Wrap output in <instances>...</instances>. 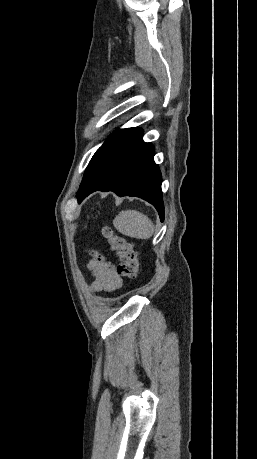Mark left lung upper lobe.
<instances>
[{
	"instance_id": "1",
	"label": "left lung upper lobe",
	"mask_w": 257,
	"mask_h": 459,
	"mask_svg": "<svg viewBox=\"0 0 257 459\" xmlns=\"http://www.w3.org/2000/svg\"><path fill=\"white\" fill-rule=\"evenodd\" d=\"M100 149V148H99ZM99 149L96 151V153L94 154V156L92 157L85 173H84V177H83V180L81 182V185H80V188L77 192V198H78V201L81 202L84 198V195L85 193L87 192V190L90 188V186L92 185V183L94 182L96 176H97V173H98V170H99V167H100V152H99Z\"/></svg>"
}]
</instances>
